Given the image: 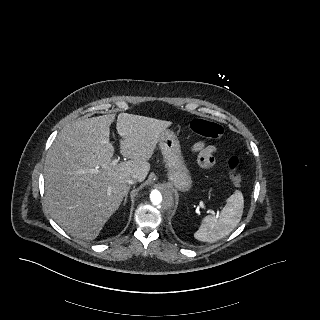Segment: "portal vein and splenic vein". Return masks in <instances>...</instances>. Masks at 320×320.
<instances>
[{
  "label": "portal vein and splenic vein",
  "mask_w": 320,
  "mask_h": 320,
  "mask_svg": "<svg viewBox=\"0 0 320 320\" xmlns=\"http://www.w3.org/2000/svg\"><path fill=\"white\" fill-rule=\"evenodd\" d=\"M120 158L118 157L117 159H114L112 161V165H116L119 162ZM99 171V167H95L91 170L92 173H97ZM210 213L214 214V212L212 210H209Z\"/></svg>",
  "instance_id": "18ae733b"
}]
</instances>
